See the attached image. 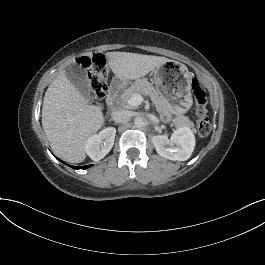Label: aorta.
<instances>
[{"mask_svg":"<svg viewBox=\"0 0 265 265\" xmlns=\"http://www.w3.org/2000/svg\"><path fill=\"white\" fill-rule=\"evenodd\" d=\"M145 124V121L144 119L141 117V116H137L135 119H134V126L136 128H141L143 127Z\"/></svg>","mask_w":265,"mask_h":265,"instance_id":"762f6f07","label":"aorta"}]
</instances>
